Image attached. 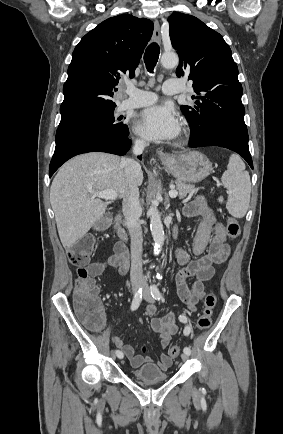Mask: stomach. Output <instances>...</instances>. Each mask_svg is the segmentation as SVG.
<instances>
[{"instance_id": "stomach-1", "label": "stomach", "mask_w": 283, "mask_h": 434, "mask_svg": "<svg viewBox=\"0 0 283 434\" xmlns=\"http://www.w3.org/2000/svg\"><path fill=\"white\" fill-rule=\"evenodd\" d=\"M166 169L180 182L197 183L212 171V163L200 152L190 151L162 160Z\"/></svg>"}]
</instances>
